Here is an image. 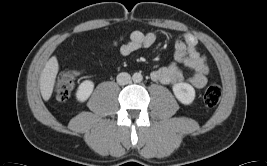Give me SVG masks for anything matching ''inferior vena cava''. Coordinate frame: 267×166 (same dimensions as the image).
<instances>
[{
    "label": "inferior vena cava",
    "mask_w": 267,
    "mask_h": 166,
    "mask_svg": "<svg viewBox=\"0 0 267 166\" xmlns=\"http://www.w3.org/2000/svg\"><path fill=\"white\" fill-rule=\"evenodd\" d=\"M130 82H131L130 74L126 72H122L117 75V83L119 85H126V84H129Z\"/></svg>",
    "instance_id": "602c4592"
}]
</instances>
